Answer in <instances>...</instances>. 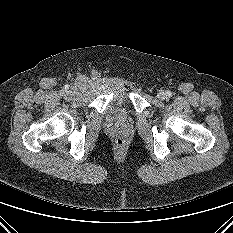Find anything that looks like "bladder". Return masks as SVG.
<instances>
[{
	"label": "bladder",
	"mask_w": 233,
	"mask_h": 233,
	"mask_svg": "<svg viewBox=\"0 0 233 233\" xmlns=\"http://www.w3.org/2000/svg\"><path fill=\"white\" fill-rule=\"evenodd\" d=\"M117 97L108 105L107 114L116 121H125L126 112L123 108V98L121 92L116 91Z\"/></svg>",
	"instance_id": "1"
}]
</instances>
